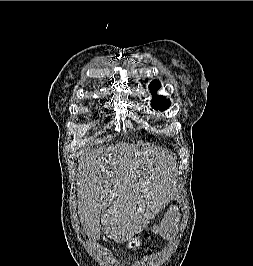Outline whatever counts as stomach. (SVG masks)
Segmentation results:
<instances>
[{"label": "stomach", "instance_id": "0dacf381", "mask_svg": "<svg viewBox=\"0 0 253 266\" xmlns=\"http://www.w3.org/2000/svg\"><path fill=\"white\" fill-rule=\"evenodd\" d=\"M141 244H142V238L140 236H135L134 238H132L127 242L126 246L128 249L136 250L141 246Z\"/></svg>", "mask_w": 253, "mask_h": 266}]
</instances>
